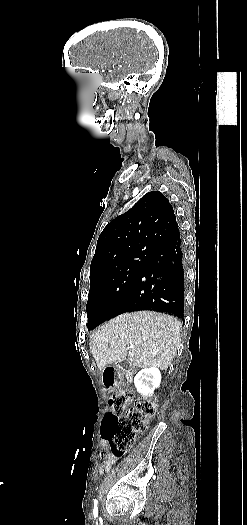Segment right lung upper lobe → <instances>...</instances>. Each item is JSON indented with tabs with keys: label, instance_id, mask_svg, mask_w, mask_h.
<instances>
[{
	"label": "right lung upper lobe",
	"instance_id": "cb5924a9",
	"mask_svg": "<svg viewBox=\"0 0 247 525\" xmlns=\"http://www.w3.org/2000/svg\"><path fill=\"white\" fill-rule=\"evenodd\" d=\"M179 230L169 200L161 193H146L130 210L112 220L101 232L90 273L131 265Z\"/></svg>",
	"mask_w": 247,
	"mask_h": 525
}]
</instances>
